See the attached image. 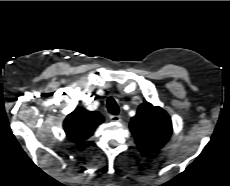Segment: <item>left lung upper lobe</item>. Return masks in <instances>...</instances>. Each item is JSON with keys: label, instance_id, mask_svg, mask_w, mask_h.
I'll return each instance as SVG.
<instances>
[{"label": "left lung upper lobe", "instance_id": "obj_1", "mask_svg": "<svg viewBox=\"0 0 230 186\" xmlns=\"http://www.w3.org/2000/svg\"><path fill=\"white\" fill-rule=\"evenodd\" d=\"M130 130L138 149L149 155L165 145L172 133L169 115L160 107L146 102L139 106L131 119Z\"/></svg>", "mask_w": 230, "mask_h": 186}]
</instances>
